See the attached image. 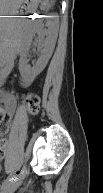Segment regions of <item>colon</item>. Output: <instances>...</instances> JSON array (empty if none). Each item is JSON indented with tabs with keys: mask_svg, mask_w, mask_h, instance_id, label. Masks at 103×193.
Listing matches in <instances>:
<instances>
[{
	"mask_svg": "<svg viewBox=\"0 0 103 193\" xmlns=\"http://www.w3.org/2000/svg\"><path fill=\"white\" fill-rule=\"evenodd\" d=\"M25 103L27 106V110L30 114L38 113L40 99L37 94L27 93L25 95ZM1 116H2V129H1L2 138L0 140V154L4 155L7 150V139L5 138V135L7 133L8 122H9L10 116L3 114V113L1 114Z\"/></svg>",
	"mask_w": 103,
	"mask_h": 193,
	"instance_id": "colon-1",
	"label": "colon"
}]
</instances>
